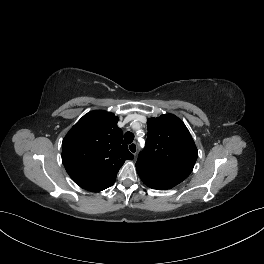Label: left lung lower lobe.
<instances>
[{"label": "left lung lower lobe", "instance_id": "0a47b994", "mask_svg": "<svg viewBox=\"0 0 264 264\" xmlns=\"http://www.w3.org/2000/svg\"><path fill=\"white\" fill-rule=\"evenodd\" d=\"M138 174L143 183L153 189H170L180 183L178 180L171 177V175H168L163 169L158 167H149Z\"/></svg>", "mask_w": 264, "mask_h": 264}]
</instances>
